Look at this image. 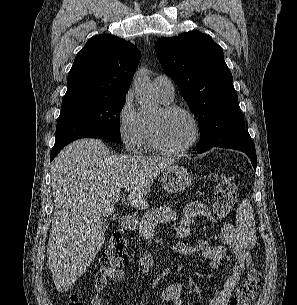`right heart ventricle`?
<instances>
[{
    "label": "right heart ventricle",
    "instance_id": "obj_1",
    "mask_svg": "<svg viewBox=\"0 0 297 305\" xmlns=\"http://www.w3.org/2000/svg\"><path fill=\"white\" fill-rule=\"evenodd\" d=\"M161 102L163 104H169L171 101L164 99L162 96L158 94ZM142 121H143V128H142V134L140 138V148L146 151H153L154 148L151 144L150 140V124H151V118L147 115L142 114Z\"/></svg>",
    "mask_w": 297,
    "mask_h": 305
}]
</instances>
